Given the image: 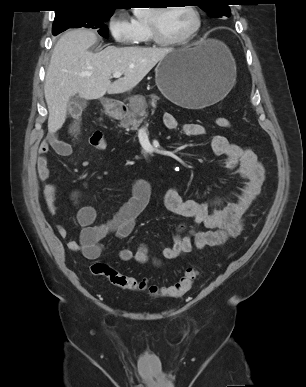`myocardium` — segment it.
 <instances>
[{
    "label": "myocardium",
    "mask_w": 306,
    "mask_h": 387,
    "mask_svg": "<svg viewBox=\"0 0 306 387\" xmlns=\"http://www.w3.org/2000/svg\"><path fill=\"white\" fill-rule=\"evenodd\" d=\"M184 7H186L193 14L195 22H194L193 28L189 31V33L180 39H173V40L165 39L159 31L157 17L161 12L166 10L168 7L166 6L157 7L150 12L146 20V23H147L150 39L152 42L163 47L180 46L191 42L197 36L202 26L201 13L198 10V8L194 5L187 4Z\"/></svg>",
    "instance_id": "obj_1"
}]
</instances>
